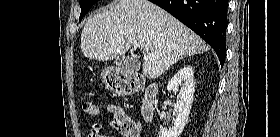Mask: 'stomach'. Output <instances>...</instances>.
<instances>
[{
  "instance_id": "1",
  "label": "stomach",
  "mask_w": 280,
  "mask_h": 137,
  "mask_svg": "<svg viewBox=\"0 0 280 137\" xmlns=\"http://www.w3.org/2000/svg\"><path fill=\"white\" fill-rule=\"evenodd\" d=\"M104 82L106 83V85L115 92H119V93H124L125 91V85H123L122 83H119L117 81H113V79H111V77L109 75H105L104 76Z\"/></svg>"
}]
</instances>
